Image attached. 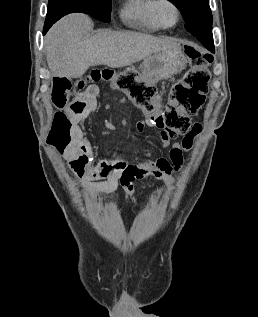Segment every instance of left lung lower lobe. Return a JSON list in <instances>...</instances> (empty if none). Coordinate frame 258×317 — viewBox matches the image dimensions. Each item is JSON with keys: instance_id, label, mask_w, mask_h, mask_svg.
Masks as SVG:
<instances>
[{"instance_id": "1", "label": "left lung lower lobe", "mask_w": 258, "mask_h": 317, "mask_svg": "<svg viewBox=\"0 0 258 317\" xmlns=\"http://www.w3.org/2000/svg\"><path fill=\"white\" fill-rule=\"evenodd\" d=\"M193 36L196 37L209 51L214 53L212 31L197 32Z\"/></svg>"}]
</instances>
